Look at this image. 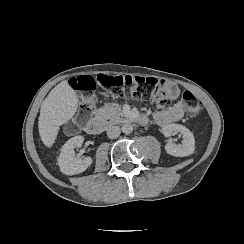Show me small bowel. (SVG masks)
<instances>
[{
	"label": "small bowel",
	"mask_w": 244,
	"mask_h": 244,
	"mask_svg": "<svg viewBox=\"0 0 244 244\" xmlns=\"http://www.w3.org/2000/svg\"><path fill=\"white\" fill-rule=\"evenodd\" d=\"M165 89L169 100L175 101L179 97L180 90L174 83H167ZM185 105L181 100L175 101L167 108L157 110L154 114L158 125L165 126L181 120L184 117Z\"/></svg>",
	"instance_id": "c3829d8e"
}]
</instances>
